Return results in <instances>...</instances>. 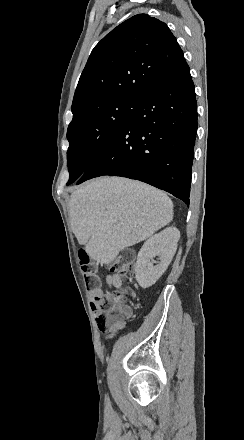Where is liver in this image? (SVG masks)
<instances>
[{
  "label": "liver",
  "mask_w": 244,
  "mask_h": 440,
  "mask_svg": "<svg viewBox=\"0 0 244 440\" xmlns=\"http://www.w3.org/2000/svg\"><path fill=\"white\" fill-rule=\"evenodd\" d=\"M70 222L79 244L98 264L143 242L173 220L167 194L128 178H94L71 194Z\"/></svg>",
  "instance_id": "1"
}]
</instances>
